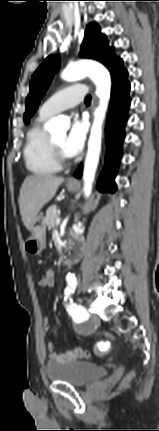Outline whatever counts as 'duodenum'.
<instances>
[{"label":"duodenum","instance_id":"duodenum-1","mask_svg":"<svg viewBox=\"0 0 159 431\" xmlns=\"http://www.w3.org/2000/svg\"><path fill=\"white\" fill-rule=\"evenodd\" d=\"M83 250V240L79 236L72 235L61 257V264L69 265L74 263L81 257Z\"/></svg>","mask_w":159,"mask_h":431}]
</instances>
